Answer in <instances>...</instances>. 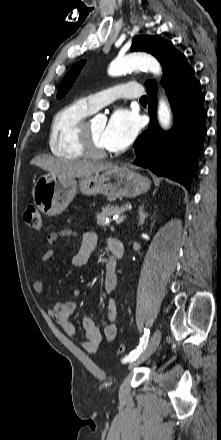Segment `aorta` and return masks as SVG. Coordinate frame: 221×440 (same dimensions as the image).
Wrapping results in <instances>:
<instances>
[{"label": "aorta", "mask_w": 221, "mask_h": 440, "mask_svg": "<svg viewBox=\"0 0 221 440\" xmlns=\"http://www.w3.org/2000/svg\"><path fill=\"white\" fill-rule=\"evenodd\" d=\"M146 68L155 75L162 73L160 63L152 55L147 53H132L124 57L115 59L108 73L111 76H120L129 70ZM158 121L163 129H168L171 123V109L168 102L164 98H160L157 110Z\"/></svg>", "instance_id": "obj_1"}]
</instances>
